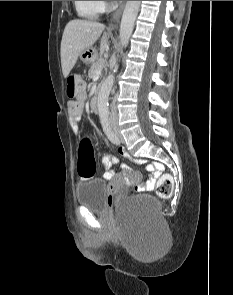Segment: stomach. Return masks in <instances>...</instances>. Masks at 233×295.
I'll return each mask as SVG.
<instances>
[{"label": "stomach", "instance_id": "stomach-1", "mask_svg": "<svg viewBox=\"0 0 233 295\" xmlns=\"http://www.w3.org/2000/svg\"><path fill=\"white\" fill-rule=\"evenodd\" d=\"M80 59L84 63H91L95 59V54L92 52L90 48H88L80 54Z\"/></svg>", "mask_w": 233, "mask_h": 295}]
</instances>
